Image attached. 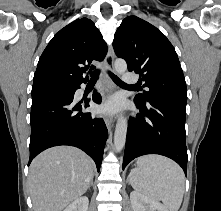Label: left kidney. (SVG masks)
<instances>
[{
	"mask_svg": "<svg viewBox=\"0 0 221 211\" xmlns=\"http://www.w3.org/2000/svg\"><path fill=\"white\" fill-rule=\"evenodd\" d=\"M133 211H168L159 201L149 198L137 191L130 193Z\"/></svg>",
	"mask_w": 221,
	"mask_h": 211,
	"instance_id": "left-kidney-1",
	"label": "left kidney"
}]
</instances>
